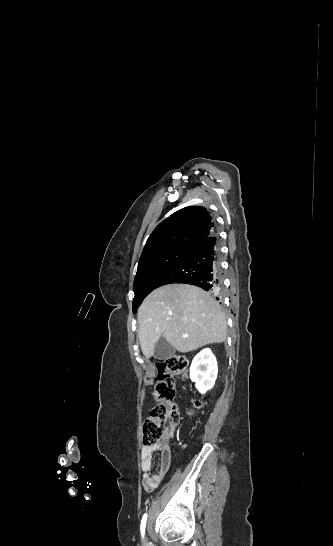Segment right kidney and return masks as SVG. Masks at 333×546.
<instances>
[{
    "label": "right kidney",
    "instance_id": "obj_1",
    "mask_svg": "<svg viewBox=\"0 0 333 546\" xmlns=\"http://www.w3.org/2000/svg\"><path fill=\"white\" fill-rule=\"evenodd\" d=\"M217 373V360L210 349H203L194 357L190 367V379L200 393L205 394L213 388Z\"/></svg>",
    "mask_w": 333,
    "mask_h": 546
}]
</instances>
